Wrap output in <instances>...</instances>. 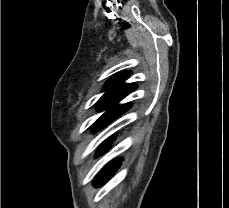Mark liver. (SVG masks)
Instances as JSON below:
<instances>
[{
  "mask_svg": "<svg viewBox=\"0 0 229 208\" xmlns=\"http://www.w3.org/2000/svg\"><path fill=\"white\" fill-rule=\"evenodd\" d=\"M101 208H109L108 204H103V206H101Z\"/></svg>",
  "mask_w": 229,
  "mask_h": 208,
  "instance_id": "1",
  "label": "liver"
}]
</instances>
